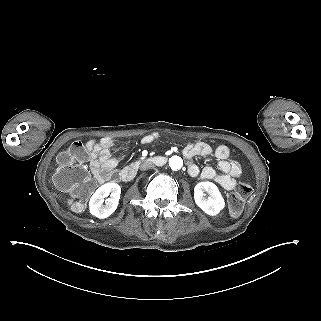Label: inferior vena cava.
<instances>
[{
  "label": "inferior vena cava",
  "instance_id": "inferior-vena-cava-1",
  "mask_svg": "<svg viewBox=\"0 0 321 321\" xmlns=\"http://www.w3.org/2000/svg\"><path fill=\"white\" fill-rule=\"evenodd\" d=\"M154 167H155V165L152 162L145 161L140 165V170L144 171V170H148V169H151Z\"/></svg>",
  "mask_w": 321,
  "mask_h": 321
}]
</instances>
